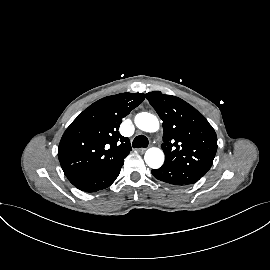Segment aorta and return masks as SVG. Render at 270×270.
<instances>
[{
	"label": "aorta",
	"instance_id": "762f6f07",
	"mask_svg": "<svg viewBox=\"0 0 270 270\" xmlns=\"http://www.w3.org/2000/svg\"><path fill=\"white\" fill-rule=\"evenodd\" d=\"M135 125L145 132H156L159 129L158 118L148 112L138 113L134 119ZM146 164L153 169L160 168L164 163V153L159 148H149L144 156Z\"/></svg>",
	"mask_w": 270,
	"mask_h": 270
}]
</instances>
